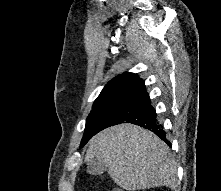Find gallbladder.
<instances>
[{"mask_svg":"<svg viewBox=\"0 0 221 191\" xmlns=\"http://www.w3.org/2000/svg\"><path fill=\"white\" fill-rule=\"evenodd\" d=\"M106 170V165L96 158L87 164V172L91 175H102Z\"/></svg>","mask_w":221,"mask_h":191,"instance_id":"obj_1","label":"gallbladder"}]
</instances>
